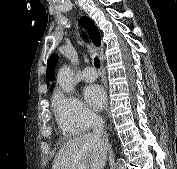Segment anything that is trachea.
Listing matches in <instances>:
<instances>
[{"label": "trachea", "mask_w": 177, "mask_h": 169, "mask_svg": "<svg viewBox=\"0 0 177 169\" xmlns=\"http://www.w3.org/2000/svg\"><path fill=\"white\" fill-rule=\"evenodd\" d=\"M94 65L96 68H99V66H100V62L97 57L94 58Z\"/></svg>", "instance_id": "3493384b"}]
</instances>
